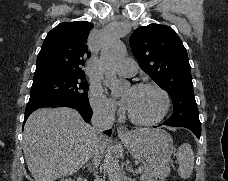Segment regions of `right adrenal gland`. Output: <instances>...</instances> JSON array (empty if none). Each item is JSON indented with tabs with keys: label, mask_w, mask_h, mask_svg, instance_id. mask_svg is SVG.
Returning a JSON list of instances; mask_svg holds the SVG:
<instances>
[{
	"label": "right adrenal gland",
	"mask_w": 228,
	"mask_h": 181,
	"mask_svg": "<svg viewBox=\"0 0 228 181\" xmlns=\"http://www.w3.org/2000/svg\"><path fill=\"white\" fill-rule=\"evenodd\" d=\"M88 171H91V173H93L95 167H92L91 163H88V165H86ZM86 167H84V169H86Z\"/></svg>",
	"instance_id": "right-adrenal-gland-1"
}]
</instances>
